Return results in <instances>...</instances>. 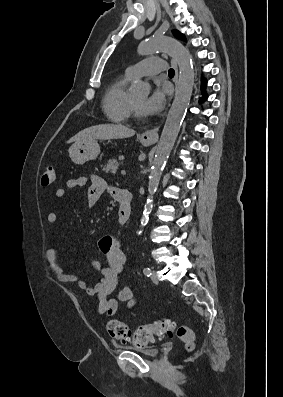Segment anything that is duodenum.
I'll use <instances>...</instances> for the list:
<instances>
[{"mask_svg": "<svg viewBox=\"0 0 283 397\" xmlns=\"http://www.w3.org/2000/svg\"><path fill=\"white\" fill-rule=\"evenodd\" d=\"M119 203V222L125 224L132 213V194L129 191L122 190L118 199Z\"/></svg>", "mask_w": 283, "mask_h": 397, "instance_id": "1", "label": "duodenum"}]
</instances>
